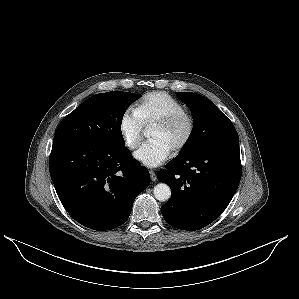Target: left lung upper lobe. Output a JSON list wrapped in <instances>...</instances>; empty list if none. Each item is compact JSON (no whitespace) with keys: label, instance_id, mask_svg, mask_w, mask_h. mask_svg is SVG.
<instances>
[{"label":"left lung upper lobe","instance_id":"1","mask_svg":"<svg viewBox=\"0 0 299 299\" xmlns=\"http://www.w3.org/2000/svg\"><path fill=\"white\" fill-rule=\"evenodd\" d=\"M191 109L194 127L178 158L203 151L208 145L236 133L232 122L206 97L193 92H177Z\"/></svg>","mask_w":299,"mask_h":299}]
</instances>
